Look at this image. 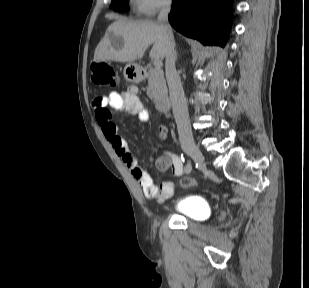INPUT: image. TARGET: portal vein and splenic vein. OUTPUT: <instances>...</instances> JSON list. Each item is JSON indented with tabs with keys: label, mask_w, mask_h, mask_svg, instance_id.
Returning <instances> with one entry per match:
<instances>
[{
	"label": "portal vein and splenic vein",
	"mask_w": 309,
	"mask_h": 288,
	"mask_svg": "<svg viewBox=\"0 0 309 288\" xmlns=\"http://www.w3.org/2000/svg\"><path fill=\"white\" fill-rule=\"evenodd\" d=\"M153 65L156 69H160V67L162 66V60L159 58H155L153 61Z\"/></svg>",
	"instance_id": "portal-vein-and-splenic-vein-1"
}]
</instances>
